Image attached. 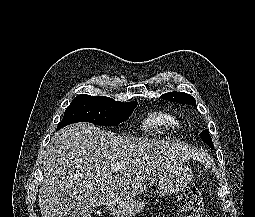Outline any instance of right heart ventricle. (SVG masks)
Instances as JSON below:
<instances>
[{
	"label": "right heart ventricle",
	"mask_w": 255,
	"mask_h": 217,
	"mask_svg": "<svg viewBox=\"0 0 255 217\" xmlns=\"http://www.w3.org/2000/svg\"><path fill=\"white\" fill-rule=\"evenodd\" d=\"M145 125L160 133H170L179 126V121L173 114L159 110L148 116Z\"/></svg>",
	"instance_id": "1"
}]
</instances>
